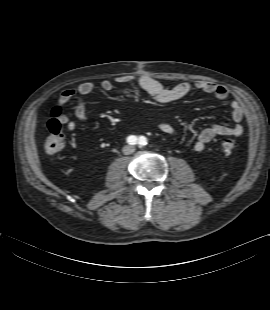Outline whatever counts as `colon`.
Masks as SVG:
<instances>
[{"label": "colon", "instance_id": "1", "mask_svg": "<svg viewBox=\"0 0 270 310\" xmlns=\"http://www.w3.org/2000/svg\"><path fill=\"white\" fill-rule=\"evenodd\" d=\"M60 110L54 108L52 117L47 124V138L45 140V151L49 155H56L62 151L65 144V135L63 132L62 124L58 119ZM236 147L235 140L231 138H223L220 140L219 148L222 152H232Z\"/></svg>", "mask_w": 270, "mask_h": 310}]
</instances>
